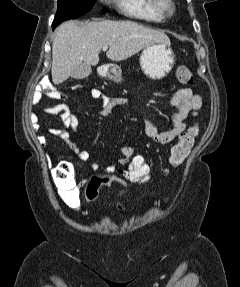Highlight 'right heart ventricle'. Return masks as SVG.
<instances>
[{
	"instance_id": "right-heart-ventricle-1",
	"label": "right heart ventricle",
	"mask_w": 240,
	"mask_h": 287,
	"mask_svg": "<svg viewBox=\"0 0 240 287\" xmlns=\"http://www.w3.org/2000/svg\"><path fill=\"white\" fill-rule=\"evenodd\" d=\"M114 2L120 13L126 17L150 22L163 20V16L153 8L152 0H114Z\"/></svg>"
}]
</instances>
